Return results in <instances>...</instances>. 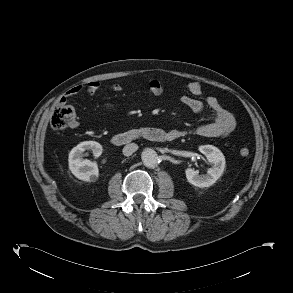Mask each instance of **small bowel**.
I'll use <instances>...</instances> for the list:
<instances>
[{"label":"small bowel","mask_w":293,"mask_h":293,"mask_svg":"<svg viewBox=\"0 0 293 293\" xmlns=\"http://www.w3.org/2000/svg\"><path fill=\"white\" fill-rule=\"evenodd\" d=\"M102 89L99 81H91L84 85H78L66 92L61 102H66L67 98L74 97L83 91L93 95ZM113 92H120L122 87L120 84L114 83L109 86ZM190 95H185L181 98V103L189 110L195 113H203L210 111L214 115V121L207 124L197 125L189 130L172 129L168 133L173 139L185 136L188 133H193L205 137H225L228 136L236 128V118L228 111L215 97H207L205 102L198 99L202 95L201 85L197 82H192L188 86ZM164 86L158 80H152L149 83V92L154 96H159L163 93ZM108 112H113L114 107L111 104L106 105ZM75 124L73 123V126Z\"/></svg>","instance_id":"1"}]
</instances>
